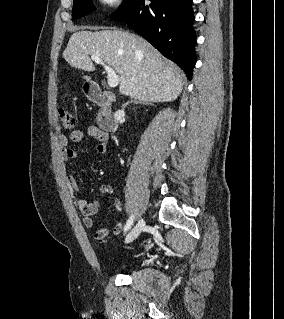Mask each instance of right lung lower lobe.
Listing matches in <instances>:
<instances>
[{
    "label": "right lung lower lobe",
    "instance_id": "98d812e1",
    "mask_svg": "<svg viewBox=\"0 0 284 319\" xmlns=\"http://www.w3.org/2000/svg\"><path fill=\"white\" fill-rule=\"evenodd\" d=\"M130 0L110 15L124 21L165 57L177 63L190 80L196 63L192 0Z\"/></svg>",
    "mask_w": 284,
    "mask_h": 319
}]
</instances>
